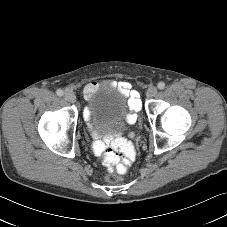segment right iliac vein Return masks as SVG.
Wrapping results in <instances>:
<instances>
[{"label":"right iliac vein","instance_id":"obj_1","mask_svg":"<svg viewBox=\"0 0 227 227\" xmlns=\"http://www.w3.org/2000/svg\"><path fill=\"white\" fill-rule=\"evenodd\" d=\"M64 98H65V100H67L70 103H74L76 101V96H75L74 92H72L70 90L65 91Z\"/></svg>","mask_w":227,"mask_h":227}]
</instances>
